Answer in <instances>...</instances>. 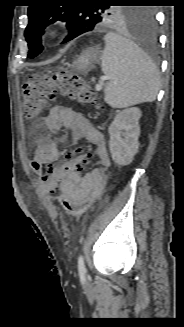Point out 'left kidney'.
Here are the masks:
<instances>
[{
  "instance_id": "1",
  "label": "left kidney",
  "mask_w": 184,
  "mask_h": 327,
  "mask_svg": "<svg viewBox=\"0 0 184 327\" xmlns=\"http://www.w3.org/2000/svg\"><path fill=\"white\" fill-rule=\"evenodd\" d=\"M140 117L141 110L130 107L119 112L109 126V148L113 161L118 165H129L138 152Z\"/></svg>"
}]
</instances>
